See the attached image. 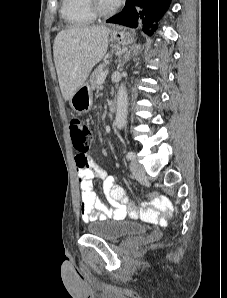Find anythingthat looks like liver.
I'll list each match as a JSON object with an SVG mask.
<instances>
[{
	"label": "liver",
	"mask_w": 227,
	"mask_h": 298,
	"mask_svg": "<svg viewBox=\"0 0 227 298\" xmlns=\"http://www.w3.org/2000/svg\"><path fill=\"white\" fill-rule=\"evenodd\" d=\"M109 34L110 30L105 26H75L57 34L53 55L65 100H70L106 54Z\"/></svg>",
	"instance_id": "6515ba94"
}]
</instances>
